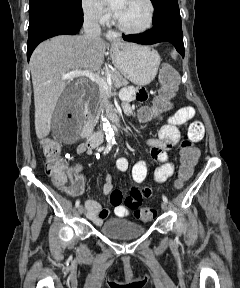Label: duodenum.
Here are the masks:
<instances>
[{
    "label": "duodenum",
    "mask_w": 240,
    "mask_h": 288,
    "mask_svg": "<svg viewBox=\"0 0 240 288\" xmlns=\"http://www.w3.org/2000/svg\"><path fill=\"white\" fill-rule=\"evenodd\" d=\"M84 115H85V121H86L85 127H86V131L88 132L87 144L90 147L94 148L101 143V141L103 139L104 131L102 129H99L97 131H93V128H94V125H95L97 119H96V117H94L92 115V113L90 112V110L87 107H85ZM105 116L109 121L114 122L118 119L119 113L114 107H110L106 111Z\"/></svg>",
    "instance_id": "obj_1"
}]
</instances>
